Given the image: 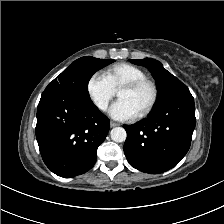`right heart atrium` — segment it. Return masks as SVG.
Wrapping results in <instances>:
<instances>
[{
    "instance_id": "obj_1",
    "label": "right heart atrium",
    "mask_w": 224,
    "mask_h": 224,
    "mask_svg": "<svg viewBox=\"0 0 224 224\" xmlns=\"http://www.w3.org/2000/svg\"><path fill=\"white\" fill-rule=\"evenodd\" d=\"M86 91L92 103L102 112L107 110L115 94L108 80L101 73H94L89 77Z\"/></svg>"
}]
</instances>
